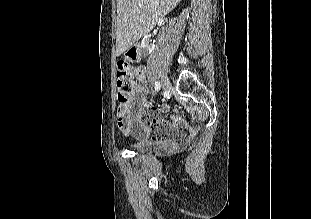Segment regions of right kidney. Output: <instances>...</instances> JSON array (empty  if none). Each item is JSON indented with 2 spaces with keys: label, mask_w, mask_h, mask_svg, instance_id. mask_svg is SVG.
Wrapping results in <instances>:
<instances>
[{
  "label": "right kidney",
  "mask_w": 311,
  "mask_h": 219,
  "mask_svg": "<svg viewBox=\"0 0 311 219\" xmlns=\"http://www.w3.org/2000/svg\"><path fill=\"white\" fill-rule=\"evenodd\" d=\"M154 44H152L151 35H146L142 39L141 48L144 53L150 54L154 50Z\"/></svg>",
  "instance_id": "obj_1"
}]
</instances>
